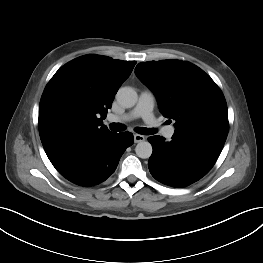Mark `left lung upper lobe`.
Masks as SVG:
<instances>
[{"label": "left lung upper lobe", "mask_w": 263, "mask_h": 263, "mask_svg": "<svg viewBox=\"0 0 263 263\" xmlns=\"http://www.w3.org/2000/svg\"><path fill=\"white\" fill-rule=\"evenodd\" d=\"M135 74L153 91L163 116L175 120V132L226 140L225 98L199 67L178 60L150 61L139 63Z\"/></svg>", "instance_id": "1"}]
</instances>
